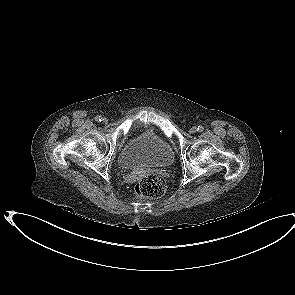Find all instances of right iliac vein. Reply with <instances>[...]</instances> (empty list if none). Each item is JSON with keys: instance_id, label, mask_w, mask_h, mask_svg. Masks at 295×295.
I'll return each mask as SVG.
<instances>
[{"instance_id": "63e3f726", "label": "right iliac vein", "mask_w": 295, "mask_h": 295, "mask_svg": "<svg viewBox=\"0 0 295 295\" xmlns=\"http://www.w3.org/2000/svg\"><path fill=\"white\" fill-rule=\"evenodd\" d=\"M107 121H108V120H107L106 118H103V119H102V122H103V123H107Z\"/></svg>"}]
</instances>
